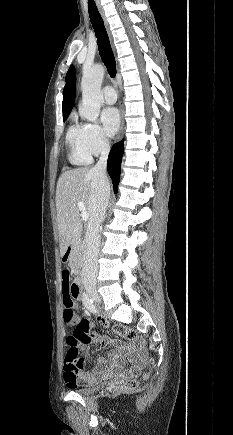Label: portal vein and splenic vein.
Returning a JSON list of instances; mask_svg holds the SVG:
<instances>
[{
  "label": "portal vein and splenic vein",
  "instance_id": "obj_1",
  "mask_svg": "<svg viewBox=\"0 0 233 435\" xmlns=\"http://www.w3.org/2000/svg\"><path fill=\"white\" fill-rule=\"evenodd\" d=\"M77 207H78V209L81 211L82 219H83L84 221H87L88 218H89V214H88V212H87V210H86V208H85V206H84V203H83V202H78V203H77Z\"/></svg>",
  "mask_w": 233,
  "mask_h": 435
}]
</instances>
